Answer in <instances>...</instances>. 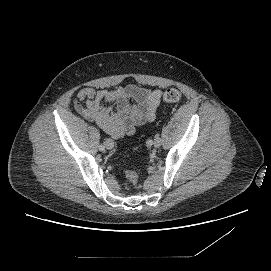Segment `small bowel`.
I'll use <instances>...</instances> for the list:
<instances>
[{"instance_id": "obj_1", "label": "small bowel", "mask_w": 271, "mask_h": 271, "mask_svg": "<svg viewBox=\"0 0 271 271\" xmlns=\"http://www.w3.org/2000/svg\"><path fill=\"white\" fill-rule=\"evenodd\" d=\"M161 96L158 89L136 85L100 90L85 87L79 90L74 108L117 139L134 133L140 125L152 122Z\"/></svg>"}]
</instances>
